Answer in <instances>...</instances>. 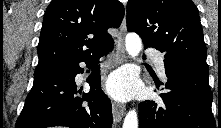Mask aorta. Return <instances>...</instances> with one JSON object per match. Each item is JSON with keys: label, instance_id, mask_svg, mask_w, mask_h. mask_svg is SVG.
Segmentation results:
<instances>
[{"label": "aorta", "instance_id": "obj_1", "mask_svg": "<svg viewBox=\"0 0 221 128\" xmlns=\"http://www.w3.org/2000/svg\"><path fill=\"white\" fill-rule=\"evenodd\" d=\"M125 45L128 54L135 58L142 49V41L136 33H128L125 38ZM123 128H138V117L135 109H130L123 122Z\"/></svg>", "mask_w": 221, "mask_h": 128}]
</instances>
